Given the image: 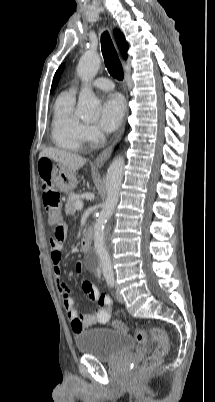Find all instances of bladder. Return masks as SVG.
Masks as SVG:
<instances>
[{
	"instance_id": "31cf9c89",
	"label": "bladder",
	"mask_w": 215,
	"mask_h": 402,
	"mask_svg": "<svg viewBox=\"0 0 215 402\" xmlns=\"http://www.w3.org/2000/svg\"><path fill=\"white\" fill-rule=\"evenodd\" d=\"M77 350L101 362H112L132 351L134 338L122 331L92 328L78 332L74 337Z\"/></svg>"
}]
</instances>
